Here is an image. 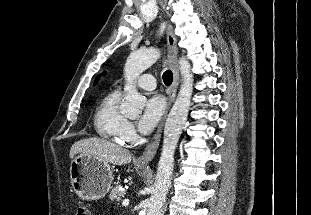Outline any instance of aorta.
Segmentation results:
<instances>
[{
	"label": "aorta",
	"mask_w": 311,
	"mask_h": 215,
	"mask_svg": "<svg viewBox=\"0 0 311 215\" xmlns=\"http://www.w3.org/2000/svg\"><path fill=\"white\" fill-rule=\"evenodd\" d=\"M159 57V51L150 48L136 50L127 58L124 76L128 83V92L121 105V112L125 116L135 118L142 113L145 99L135 89L133 85L134 80L154 64ZM179 69L182 76V84L165 123L163 147L158 162L153 192L148 203L147 215L161 214L171 185L174 152L188 117L193 92V75L190 63L183 57L179 59Z\"/></svg>",
	"instance_id": "1"
}]
</instances>
